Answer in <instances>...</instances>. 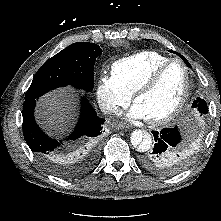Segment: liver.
Segmentation results:
<instances>
[{"mask_svg": "<svg viewBox=\"0 0 221 221\" xmlns=\"http://www.w3.org/2000/svg\"><path fill=\"white\" fill-rule=\"evenodd\" d=\"M74 91L69 88L55 90L40 99L36 119L40 126L52 134H62L75 118Z\"/></svg>", "mask_w": 221, "mask_h": 221, "instance_id": "obj_1", "label": "liver"}]
</instances>
